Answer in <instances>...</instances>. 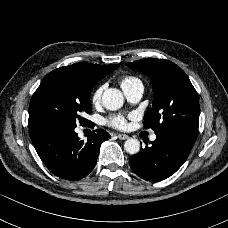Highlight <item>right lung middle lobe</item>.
Here are the masks:
<instances>
[{
    "label": "right lung middle lobe",
    "mask_w": 228,
    "mask_h": 228,
    "mask_svg": "<svg viewBox=\"0 0 228 228\" xmlns=\"http://www.w3.org/2000/svg\"><path fill=\"white\" fill-rule=\"evenodd\" d=\"M99 80L76 68L61 67L50 72L31 98L29 129L47 123H64L76 127L78 122H89L81 113L92 112L91 91Z\"/></svg>",
    "instance_id": "obj_1"
}]
</instances>
